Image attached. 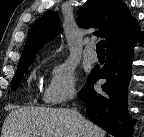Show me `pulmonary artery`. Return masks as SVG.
I'll list each match as a JSON object with an SVG mask.
<instances>
[{"label": "pulmonary artery", "mask_w": 144, "mask_h": 137, "mask_svg": "<svg viewBox=\"0 0 144 137\" xmlns=\"http://www.w3.org/2000/svg\"><path fill=\"white\" fill-rule=\"evenodd\" d=\"M95 45L93 42L88 43V45L86 46L85 50H84V58L91 62V63H95L98 60L97 54L94 51Z\"/></svg>", "instance_id": "obj_1"}]
</instances>
